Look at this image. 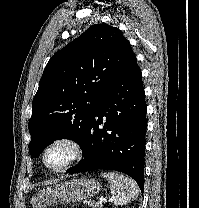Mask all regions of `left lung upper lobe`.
Returning a JSON list of instances; mask_svg holds the SVG:
<instances>
[{
	"instance_id": "obj_1",
	"label": "left lung upper lobe",
	"mask_w": 199,
	"mask_h": 208,
	"mask_svg": "<svg viewBox=\"0 0 199 208\" xmlns=\"http://www.w3.org/2000/svg\"><path fill=\"white\" fill-rule=\"evenodd\" d=\"M134 58L129 41L108 24L91 26L54 54L32 102V156L62 138L81 146L101 95Z\"/></svg>"
}]
</instances>
